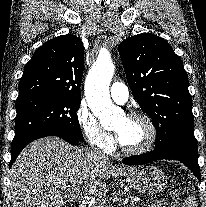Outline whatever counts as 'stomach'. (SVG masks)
<instances>
[{
    "instance_id": "obj_1",
    "label": "stomach",
    "mask_w": 206,
    "mask_h": 207,
    "mask_svg": "<svg viewBox=\"0 0 206 207\" xmlns=\"http://www.w3.org/2000/svg\"><path fill=\"white\" fill-rule=\"evenodd\" d=\"M125 182L137 192L154 195L167 185V176L155 166H141L125 178Z\"/></svg>"
}]
</instances>
